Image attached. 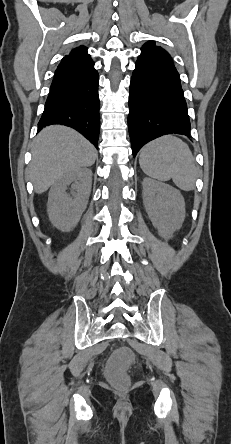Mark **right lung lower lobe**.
Returning <instances> with one entry per match:
<instances>
[{"label": "right lung lower lobe", "mask_w": 231, "mask_h": 444, "mask_svg": "<svg viewBox=\"0 0 231 444\" xmlns=\"http://www.w3.org/2000/svg\"><path fill=\"white\" fill-rule=\"evenodd\" d=\"M98 72L86 70L54 77L38 130L51 124L72 127L96 148L99 138Z\"/></svg>", "instance_id": "obj_1"}]
</instances>
